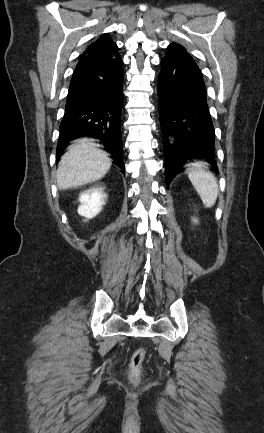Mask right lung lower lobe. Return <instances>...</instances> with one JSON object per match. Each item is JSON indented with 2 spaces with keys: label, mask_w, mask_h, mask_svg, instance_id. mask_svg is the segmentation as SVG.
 Returning a JSON list of instances; mask_svg holds the SVG:
<instances>
[{
  "label": "right lung lower lobe",
  "mask_w": 264,
  "mask_h": 433,
  "mask_svg": "<svg viewBox=\"0 0 264 433\" xmlns=\"http://www.w3.org/2000/svg\"><path fill=\"white\" fill-rule=\"evenodd\" d=\"M123 62L99 54L82 55L71 79L57 155L67 142L80 136L102 140L116 164L122 158L121 111Z\"/></svg>",
  "instance_id": "1"
}]
</instances>
